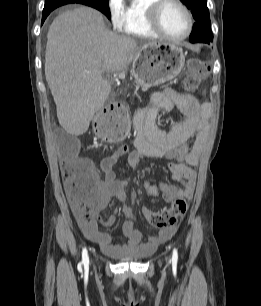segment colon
I'll return each instance as SVG.
<instances>
[{
	"mask_svg": "<svg viewBox=\"0 0 261 306\" xmlns=\"http://www.w3.org/2000/svg\"><path fill=\"white\" fill-rule=\"evenodd\" d=\"M187 70L185 84L189 89L199 85L208 73L205 62L195 58L188 60ZM123 110L124 108L120 103L107 108L108 116L114 118L115 121L110 124L105 122L101 124V131L105 137L119 141L127 136L126 123L124 116L121 114ZM77 147L78 142L75 138L67 134H61L58 148L63 158L69 162L65 169L66 187L72 206L81 212L90 207L94 197V168L90 163L79 162L76 159ZM186 211V201L178 199L170 209L158 212L148 211L145 217L153 227L168 228L173 227Z\"/></svg>",
	"mask_w": 261,
	"mask_h": 306,
	"instance_id": "1",
	"label": "colon"
}]
</instances>
